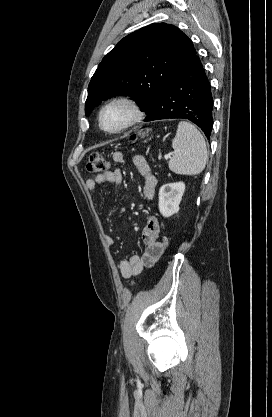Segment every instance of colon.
<instances>
[{
    "mask_svg": "<svg viewBox=\"0 0 272 417\" xmlns=\"http://www.w3.org/2000/svg\"><path fill=\"white\" fill-rule=\"evenodd\" d=\"M136 138V135L132 136V140ZM111 167L109 160L101 155L100 153H92L89 156L88 163H87V170L92 173L96 172H107ZM160 247L165 250L169 244V238L167 236H163L159 241Z\"/></svg>",
    "mask_w": 272,
    "mask_h": 417,
    "instance_id": "1",
    "label": "colon"
}]
</instances>
